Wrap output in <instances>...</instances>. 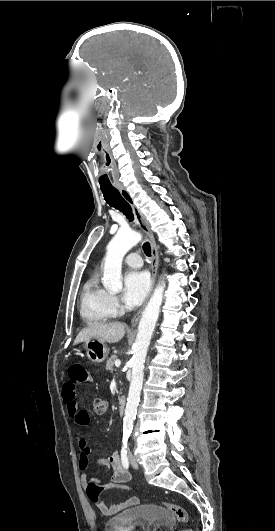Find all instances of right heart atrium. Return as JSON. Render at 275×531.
<instances>
[{"mask_svg": "<svg viewBox=\"0 0 275 531\" xmlns=\"http://www.w3.org/2000/svg\"><path fill=\"white\" fill-rule=\"evenodd\" d=\"M107 304L113 315L118 314L122 309L119 297L110 292L107 293Z\"/></svg>", "mask_w": 275, "mask_h": 531, "instance_id": "obj_1", "label": "right heart atrium"}]
</instances>
